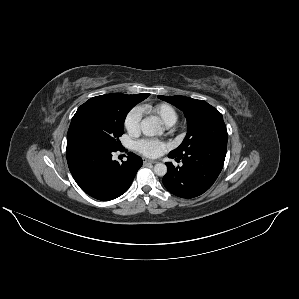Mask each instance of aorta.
Segmentation results:
<instances>
[{
  "label": "aorta",
  "mask_w": 299,
  "mask_h": 299,
  "mask_svg": "<svg viewBox=\"0 0 299 299\" xmlns=\"http://www.w3.org/2000/svg\"><path fill=\"white\" fill-rule=\"evenodd\" d=\"M141 131L145 136H156L162 134L160 124L152 118H147L141 122ZM154 173L158 176H164L167 173V166L163 163H157L154 166Z\"/></svg>",
  "instance_id": "aorta-1"
}]
</instances>
